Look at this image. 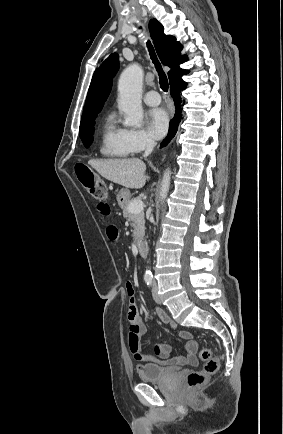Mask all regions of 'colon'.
Instances as JSON below:
<instances>
[{
    "label": "colon",
    "mask_w": 283,
    "mask_h": 434,
    "mask_svg": "<svg viewBox=\"0 0 283 434\" xmlns=\"http://www.w3.org/2000/svg\"><path fill=\"white\" fill-rule=\"evenodd\" d=\"M77 179L87 192L97 200L107 198V187L105 183L85 164L75 166ZM200 359L204 362L201 370L192 371L187 376L189 389H197L203 386L208 377L215 374L219 368V361L214 357L208 348H202L199 352Z\"/></svg>",
    "instance_id": "colon-1"
}]
</instances>
